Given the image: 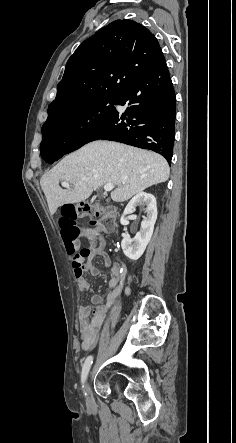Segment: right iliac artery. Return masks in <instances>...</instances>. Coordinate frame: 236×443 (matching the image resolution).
<instances>
[{"mask_svg":"<svg viewBox=\"0 0 236 443\" xmlns=\"http://www.w3.org/2000/svg\"><path fill=\"white\" fill-rule=\"evenodd\" d=\"M92 360H93L92 356H88L87 359L85 360V363H84L83 368H82V374H81L82 384H84V382H85V380L87 378L89 369H90V367L92 365V362H93Z\"/></svg>","mask_w":236,"mask_h":443,"instance_id":"right-iliac-artery-1","label":"right iliac artery"}]
</instances>
